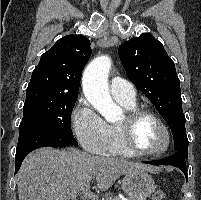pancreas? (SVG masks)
<instances>
[{
  "mask_svg": "<svg viewBox=\"0 0 201 200\" xmlns=\"http://www.w3.org/2000/svg\"><path fill=\"white\" fill-rule=\"evenodd\" d=\"M105 200H121V199L116 195H107Z\"/></svg>",
  "mask_w": 201,
  "mask_h": 200,
  "instance_id": "pancreas-1",
  "label": "pancreas"
}]
</instances>
